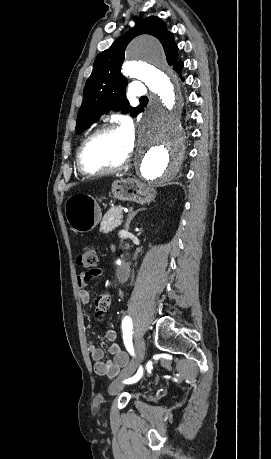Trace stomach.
<instances>
[{
    "instance_id": "1",
    "label": "stomach",
    "mask_w": 271,
    "mask_h": 459,
    "mask_svg": "<svg viewBox=\"0 0 271 459\" xmlns=\"http://www.w3.org/2000/svg\"><path fill=\"white\" fill-rule=\"evenodd\" d=\"M113 198L123 202L150 204L156 198L151 184L140 182L136 178H119L111 186ZM65 216L71 229L86 233L96 228L101 220V210L94 198L88 194H74L65 204Z\"/></svg>"
}]
</instances>
